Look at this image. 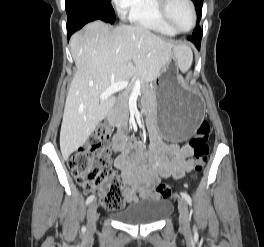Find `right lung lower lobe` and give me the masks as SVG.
<instances>
[{"mask_svg":"<svg viewBox=\"0 0 264 247\" xmlns=\"http://www.w3.org/2000/svg\"><path fill=\"white\" fill-rule=\"evenodd\" d=\"M68 16L67 36L68 38L77 30L82 28L88 22L98 20L99 18L89 13H73Z\"/></svg>","mask_w":264,"mask_h":247,"instance_id":"1","label":"right lung lower lobe"}]
</instances>
